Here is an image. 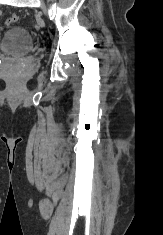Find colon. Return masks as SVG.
I'll list each match as a JSON object with an SVG mask.
<instances>
[{"instance_id":"colon-1","label":"colon","mask_w":163,"mask_h":235,"mask_svg":"<svg viewBox=\"0 0 163 235\" xmlns=\"http://www.w3.org/2000/svg\"><path fill=\"white\" fill-rule=\"evenodd\" d=\"M19 20V17L17 15H11L10 17H8L6 19V25L7 26H11V25H14L15 23H17Z\"/></svg>"}]
</instances>
